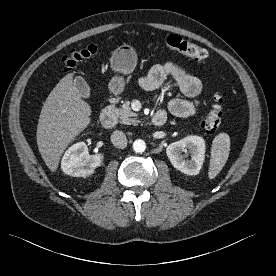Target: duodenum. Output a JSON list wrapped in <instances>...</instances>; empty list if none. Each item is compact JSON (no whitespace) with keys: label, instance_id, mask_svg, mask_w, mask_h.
I'll list each match as a JSON object with an SVG mask.
<instances>
[{"label":"duodenum","instance_id":"duodenum-1","mask_svg":"<svg viewBox=\"0 0 276 276\" xmlns=\"http://www.w3.org/2000/svg\"><path fill=\"white\" fill-rule=\"evenodd\" d=\"M114 107L115 101L111 100L101 113L100 121L106 128H112L117 124V116ZM150 123L154 127L163 126L166 123V114L162 111L157 112L151 117Z\"/></svg>","mask_w":276,"mask_h":276}]
</instances>
